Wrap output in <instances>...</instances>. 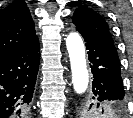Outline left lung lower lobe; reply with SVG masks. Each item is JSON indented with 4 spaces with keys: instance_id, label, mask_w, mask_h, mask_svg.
<instances>
[{
    "instance_id": "left-lung-lower-lobe-1",
    "label": "left lung lower lobe",
    "mask_w": 133,
    "mask_h": 118,
    "mask_svg": "<svg viewBox=\"0 0 133 118\" xmlns=\"http://www.w3.org/2000/svg\"><path fill=\"white\" fill-rule=\"evenodd\" d=\"M88 50L93 73L92 94L99 103L125 101V91L120 73V61L115 45L100 41L80 29ZM116 112V111H115Z\"/></svg>"
}]
</instances>
